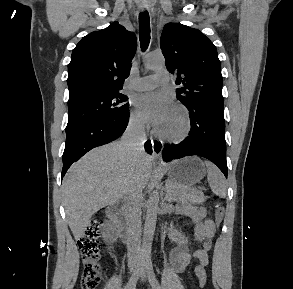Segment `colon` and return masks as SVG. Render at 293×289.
<instances>
[{"mask_svg":"<svg viewBox=\"0 0 293 289\" xmlns=\"http://www.w3.org/2000/svg\"><path fill=\"white\" fill-rule=\"evenodd\" d=\"M223 216V206L216 200L214 204V221L216 225L222 222ZM100 232V221L92 220L85 234L78 240V246L83 259L81 289H96L102 279V271L99 264L101 251ZM204 284V280L201 279L200 285L204 286Z\"/></svg>","mask_w":293,"mask_h":289,"instance_id":"obj_1","label":"colon"}]
</instances>
